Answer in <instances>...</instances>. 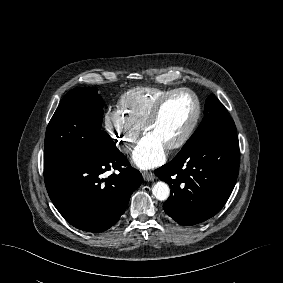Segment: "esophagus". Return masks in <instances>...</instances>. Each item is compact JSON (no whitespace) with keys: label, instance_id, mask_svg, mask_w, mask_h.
Wrapping results in <instances>:
<instances>
[{"label":"esophagus","instance_id":"esophagus-1","mask_svg":"<svg viewBox=\"0 0 283 283\" xmlns=\"http://www.w3.org/2000/svg\"><path fill=\"white\" fill-rule=\"evenodd\" d=\"M143 179L145 181H153L155 179V175L152 172H143Z\"/></svg>","mask_w":283,"mask_h":283}]
</instances>
